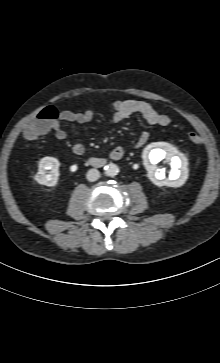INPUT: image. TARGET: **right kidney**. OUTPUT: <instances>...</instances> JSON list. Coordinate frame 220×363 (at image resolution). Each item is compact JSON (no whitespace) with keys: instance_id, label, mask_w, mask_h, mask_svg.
Listing matches in <instances>:
<instances>
[{"instance_id":"obj_1","label":"right kidney","mask_w":220,"mask_h":363,"mask_svg":"<svg viewBox=\"0 0 220 363\" xmlns=\"http://www.w3.org/2000/svg\"><path fill=\"white\" fill-rule=\"evenodd\" d=\"M60 162L54 157H44L39 161L38 172L35 175V180L46 186H55L59 179ZM47 170L50 172L47 174Z\"/></svg>"}]
</instances>
